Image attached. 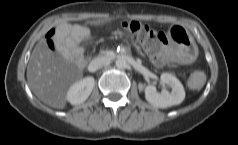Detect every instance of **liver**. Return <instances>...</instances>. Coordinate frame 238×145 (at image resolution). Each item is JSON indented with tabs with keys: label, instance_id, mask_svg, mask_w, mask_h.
<instances>
[{
	"label": "liver",
	"instance_id": "liver-1",
	"mask_svg": "<svg viewBox=\"0 0 238 145\" xmlns=\"http://www.w3.org/2000/svg\"><path fill=\"white\" fill-rule=\"evenodd\" d=\"M122 16L89 21L99 26ZM89 32L79 25L61 23L56 28L55 51L51 50L45 39L34 47L27 66V81L33 93L45 104L63 109L66 107V92L83 74L85 61L79 54L72 52L66 40L71 35Z\"/></svg>",
	"mask_w": 238,
	"mask_h": 145
}]
</instances>
